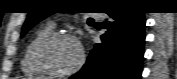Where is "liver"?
<instances>
[{
  "mask_svg": "<svg viewBox=\"0 0 177 79\" xmlns=\"http://www.w3.org/2000/svg\"><path fill=\"white\" fill-rule=\"evenodd\" d=\"M36 79H45L44 77H37Z\"/></svg>",
  "mask_w": 177,
  "mask_h": 79,
  "instance_id": "obj_1",
  "label": "liver"
}]
</instances>
